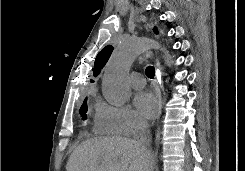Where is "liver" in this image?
<instances>
[{
  "mask_svg": "<svg viewBox=\"0 0 245 171\" xmlns=\"http://www.w3.org/2000/svg\"><path fill=\"white\" fill-rule=\"evenodd\" d=\"M154 161L135 140L98 137L84 141L70 155L67 171H153Z\"/></svg>",
  "mask_w": 245,
  "mask_h": 171,
  "instance_id": "1",
  "label": "liver"
}]
</instances>
